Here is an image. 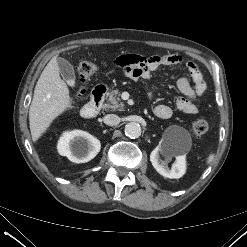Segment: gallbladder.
I'll return each instance as SVG.
<instances>
[{
    "instance_id": "gallbladder-1",
    "label": "gallbladder",
    "mask_w": 247,
    "mask_h": 247,
    "mask_svg": "<svg viewBox=\"0 0 247 247\" xmlns=\"http://www.w3.org/2000/svg\"><path fill=\"white\" fill-rule=\"evenodd\" d=\"M57 64L59 67V71L63 79L70 85L73 86L75 84V72L73 66L64 58L58 57Z\"/></svg>"
}]
</instances>
